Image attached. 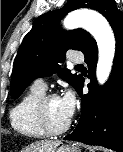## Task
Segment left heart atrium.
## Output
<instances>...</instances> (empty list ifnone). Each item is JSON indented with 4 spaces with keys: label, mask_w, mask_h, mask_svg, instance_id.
I'll use <instances>...</instances> for the list:
<instances>
[{
    "label": "left heart atrium",
    "mask_w": 123,
    "mask_h": 152,
    "mask_svg": "<svg viewBox=\"0 0 123 152\" xmlns=\"http://www.w3.org/2000/svg\"><path fill=\"white\" fill-rule=\"evenodd\" d=\"M67 117L70 119L75 111L76 99L71 90H67L60 98Z\"/></svg>",
    "instance_id": "obj_1"
}]
</instances>
